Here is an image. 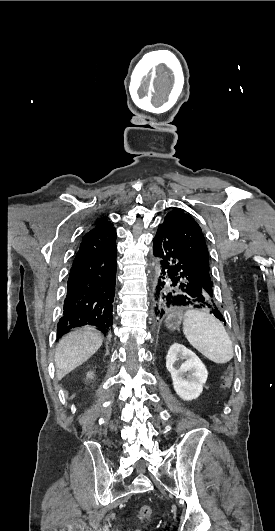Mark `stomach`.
I'll return each instance as SVG.
<instances>
[{"label": "stomach", "instance_id": "stomach-1", "mask_svg": "<svg viewBox=\"0 0 275 531\" xmlns=\"http://www.w3.org/2000/svg\"><path fill=\"white\" fill-rule=\"evenodd\" d=\"M183 317L184 315L183 313H180V311H177V313H170V315H168L167 319L164 321L167 329H171V331H178Z\"/></svg>", "mask_w": 275, "mask_h": 531}]
</instances>
